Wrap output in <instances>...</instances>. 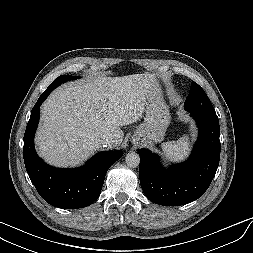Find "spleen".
Returning a JSON list of instances; mask_svg holds the SVG:
<instances>
[{
    "mask_svg": "<svg viewBox=\"0 0 253 253\" xmlns=\"http://www.w3.org/2000/svg\"><path fill=\"white\" fill-rule=\"evenodd\" d=\"M162 151L166 158L178 162L188 156L191 144L188 136H183L177 141H168L161 145Z\"/></svg>",
    "mask_w": 253,
    "mask_h": 253,
    "instance_id": "3e777b00",
    "label": "spleen"
}]
</instances>
